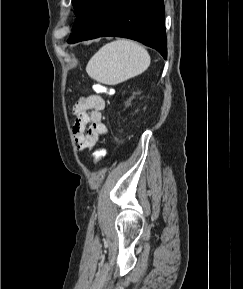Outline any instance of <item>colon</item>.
Listing matches in <instances>:
<instances>
[{"label": "colon", "mask_w": 243, "mask_h": 289, "mask_svg": "<svg viewBox=\"0 0 243 289\" xmlns=\"http://www.w3.org/2000/svg\"><path fill=\"white\" fill-rule=\"evenodd\" d=\"M94 88L98 92H102L106 94L110 93V90L106 86L101 85V84H96ZM104 155H105V150L103 148L96 150L94 152V162L95 163L100 162V160L104 157Z\"/></svg>", "instance_id": "colon-1"}]
</instances>
